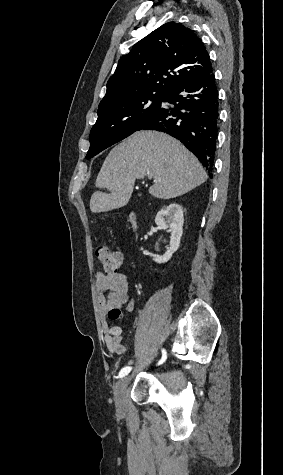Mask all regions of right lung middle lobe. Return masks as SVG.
<instances>
[{
	"label": "right lung middle lobe",
	"instance_id": "1",
	"mask_svg": "<svg viewBox=\"0 0 283 475\" xmlns=\"http://www.w3.org/2000/svg\"><path fill=\"white\" fill-rule=\"evenodd\" d=\"M166 94L146 93L98 107V119L90 131V149L86 158L94 157L137 131L161 107Z\"/></svg>",
	"mask_w": 283,
	"mask_h": 475
}]
</instances>
